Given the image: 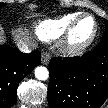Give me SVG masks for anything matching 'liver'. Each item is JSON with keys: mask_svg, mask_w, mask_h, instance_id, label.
Wrapping results in <instances>:
<instances>
[{"mask_svg": "<svg viewBox=\"0 0 108 108\" xmlns=\"http://www.w3.org/2000/svg\"><path fill=\"white\" fill-rule=\"evenodd\" d=\"M12 35H13L14 40L17 43L20 42V41L31 42L30 38L28 36L29 32L27 30H24V29H21V28L14 29L12 31ZM4 41H5V36H4L3 30L1 29V31H0V42L3 43Z\"/></svg>", "mask_w": 108, "mask_h": 108, "instance_id": "1", "label": "liver"}]
</instances>
